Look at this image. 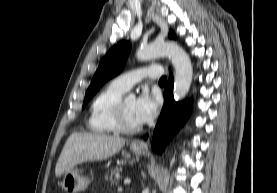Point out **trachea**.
<instances>
[{
    "label": "trachea",
    "mask_w": 277,
    "mask_h": 193,
    "mask_svg": "<svg viewBox=\"0 0 277 193\" xmlns=\"http://www.w3.org/2000/svg\"><path fill=\"white\" fill-rule=\"evenodd\" d=\"M166 82V77L163 76L160 80H159V83H165Z\"/></svg>",
    "instance_id": "obj_1"
}]
</instances>
